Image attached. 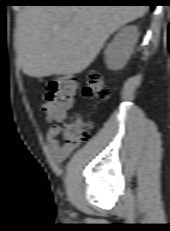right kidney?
Instances as JSON below:
<instances>
[{
  "mask_svg": "<svg viewBox=\"0 0 170 231\" xmlns=\"http://www.w3.org/2000/svg\"><path fill=\"white\" fill-rule=\"evenodd\" d=\"M136 26L122 28L105 50V60L111 69H121L127 63L138 41Z\"/></svg>",
  "mask_w": 170,
  "mask_h": 231,
  "instance_id": "ca27d5eb",
  "label": "right kidney"
}]
</instances>
